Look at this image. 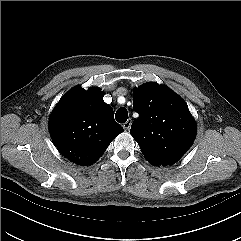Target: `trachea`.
I'll list each match as a JSON object with an SVG mask.
<instances>
[{
    "instance_id": "trachea-1",
    "label": "trachea",
    "mask_w": 241,
    "mask_h": 241,
    "mask_svg": "<svg viewBox=\"0 0 241 241\" xmlns=\"http://www.w3.org/2000/svg\"><path fill=\"white\" fill-rule=\"evenodd\" d=\"M127 118H128V111L126 110V108H120L117 110L115 114V119L117 122L125 123L127 121Z\"/></svg>"
}]
</instances>
